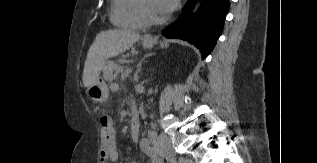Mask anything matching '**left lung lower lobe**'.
I'll use <instances>...</instances> for the list:
<instances>
[{"label":"left lung lower lobe","mask_w":317,"mask_h":163,"mask_svg":"<svg viewBox=\"0 0 317 163\" xmlns=\"http://www.w3.org/2000/svg\"><path fill=\"white\" fill-rule=\"evenodd\" d=\"M195 0H188L181 16L162 31L167 38H180L194 44L202 52L204 59L213 50L219 38L229 0H203L198 12L192 17Z\"/></svg>","instance_id":"left-lung-lower-lobe-1"}]
</instances>
